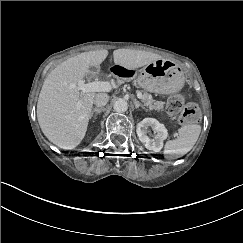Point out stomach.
Returning a JSON list of instances; mask_svg holds the SVG:
<instances>
[{
	"label": "stomach",
	"instance_id": "stomach-1",
	"mask_svg": "<svg viewBox=\"0 0 243 243\" xmlns=\"http://www.w3.org/2000/svg\"><path fill=\"white\" fill-rule=\"evenodd\" d=\"M185 83L183 70L169 60L159 59L147 64L138 77V84L155 93H175Z\"/></svg>",
	"mask_w": 243,
	"mask_h": 243
}]
</instances>
